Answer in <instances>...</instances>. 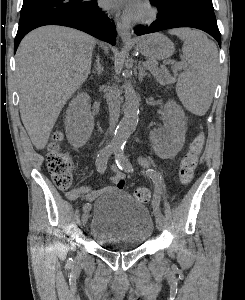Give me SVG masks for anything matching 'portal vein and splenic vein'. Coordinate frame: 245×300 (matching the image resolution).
Instances as JSON below:
<instances>
[{
    "mask_svg": "<svg viewBox=\"0 0 245 300\" xmlns=\"http://www.w3.org/2000/svg\"><path fill=\"white\" fill-rule=\"evenodd\" d=\"M172 63H175V61H172ZM144 65L147 67H150L151 63L149 62H144ZM178 68L180 69V66L178 65Z\"/></svg>",
    "mask_w": 245,
    "mask_h": 300,
    "instance_id": "1",
    "label": "portal vein and splenic vein"
}]
</instances>
